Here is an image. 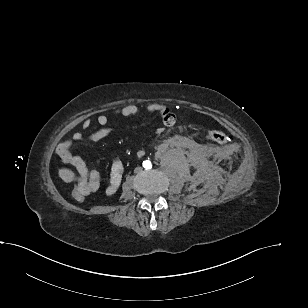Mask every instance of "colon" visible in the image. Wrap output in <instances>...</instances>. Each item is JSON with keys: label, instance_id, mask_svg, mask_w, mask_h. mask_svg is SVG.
Listing matches in <instances>:
<instances>
[{"label": "colon", "instance_id": "obj_1", "mask_svg": "<svg viewBox=\"0 0 308 308\" xmlns=\"http://www.w3.org/2000/svg\"><path fill=\"white\" fill-rule=\"evenodd\" d=\"M171 117H167L166 119L171 121ZM208 137L219 144H224L227 141L226 135L219 130L216 129H211L208 131ZM72 195L73 197L78 201V202H83L85 200V197L88 195V192L85 190L79 188L78 186H75L72 190Z\"/></svg>", "mask_w": 308, "mask_h": 308}]
</instances>
